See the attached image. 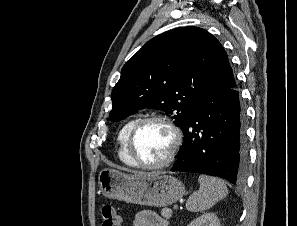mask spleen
Returning <instances> with one entry per match:
<instances>
[{"label": "spleen", "instance_id": "3e777b00", "mask_svg": "<svg viewBox=\"0 0 297 226\" xmlns=\"http://www.w3.org/2000/svg\"><path fill=\"white\" fill-rule=\"evenodd\" d=\"M198 181L199 190L194 192L186 202V208L190 212H202L210 209L228 194L226 185L218 178L200 175Z\"/></svg>", "mask_w": 297, "mask_h": 226}]
</instances>
